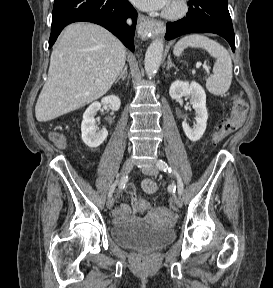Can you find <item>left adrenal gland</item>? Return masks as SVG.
Returning <instances> with one entry per match:
<instances>
[{"label":"left adrenal gland","instance_id":"a2214340","mask_svg":"<svg viewBox=\"0 0 273 288\" xmlns=\"http://www.w3.org/2000/svg\"><path fill=\"white\" fill-rule=\"evenodd\" d=\"M171 67H174L176 70V66L172 63L170 57L168 58V61H167V70H169Z\"/></svg>","mask_w":273,"mask_h":288}]
</instances>
